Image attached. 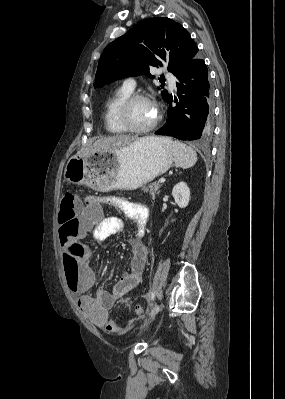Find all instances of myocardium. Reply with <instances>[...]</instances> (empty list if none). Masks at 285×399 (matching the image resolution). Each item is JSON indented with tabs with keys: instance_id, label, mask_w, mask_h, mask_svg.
I'll return each instance as SVG.
<instances>
[{
	"instance_id": "myocardium-1",
	"label": "myocardium",
	"mask_w": 285,
	"mask_h": 399,
	"mask_svg": "<svg viewBox=\"0 0 285 399\" xmlns=\"http://www.w3.org/2000/svg\"><path fill=\"white\" fill-rule=\"evenodd\" d=\"M138 100H145V101L150 102L151 104H153V106L155 107V110H156V117H155L154 121L151 124H149L148 126L142 127V128L134 127L130 122V116H129L131 106L133 105L134 102H136ZM160 119H161V113H160L158 105L149 96L142 94V93L131 94L122 103V105L119 109L120 123L124 129H126L128 132H131V133L141 134V133L149 132L158 125Z\"/></svg>"
}]
</instances>
